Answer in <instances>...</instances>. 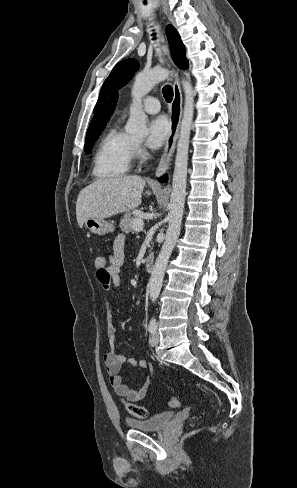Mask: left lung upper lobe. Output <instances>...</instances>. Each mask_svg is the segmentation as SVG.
Returning a JSON list of instances; mask_svg holds the SVG:
<instances>
[{
    "mask_svg": "<svg viewBox=\"0 0 297 488\" xmlns=\"http://www.w3.org/2000/svg\"><path fill=\"white\" fill-rule=\"evenodd\" d=\"M166 34L171 48V55L175 64L181 69H186L188 67V61L185 56L184 45L178 32L172 25H168L166 28ZM138 68L139 64L135 59H127L116 64L109 77L102 85L94 112L99 108L109 94L126 85L131 80Z\"/></svg>",
    "mask_w": 297,
    "mask_h": 488,
    "instance_id": "obj_1",
    "label": "left lung upper lobe"
}]
</instances>
